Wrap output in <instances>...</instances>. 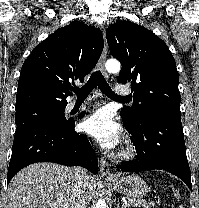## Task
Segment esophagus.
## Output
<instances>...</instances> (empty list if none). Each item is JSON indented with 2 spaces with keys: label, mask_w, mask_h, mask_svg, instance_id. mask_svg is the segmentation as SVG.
I'll use <instances>...</instances> for the list:
<instances>
[{
  "label": "esophagus",
  "mask_w": 199,
  "mask_h": 208,
  "mask_svg": "<svg viewBox=\"0 0 199 208\" xmlns=\"http://www.w3.org/2000/svg\"><path fill=\"white\" fill-rule=\"evenodd\" d=\"M102 31H103V38H104V49H103L102 55L100 57V60L98 62V67L101 70V72L103 73V75L108 79L109 75L107 74V72L105 70V62H106V58H107V41H106V37H105L104 28ZM99 168H100V174L102 177H107V178L114 177L110 171V167H109L107 161L103 157H99Z\"/></svg>",
  "instance_id": "34e87169"
}]
</instances>
